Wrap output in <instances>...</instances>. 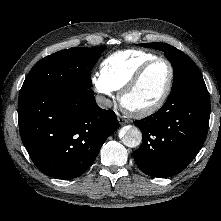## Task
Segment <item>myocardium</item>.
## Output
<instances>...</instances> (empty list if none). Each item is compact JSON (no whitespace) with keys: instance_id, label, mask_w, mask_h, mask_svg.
Segmentation results:
<instances>
[{"instance_id":"f54148a6","label":"myocardium","mask_w":221,"mask_h":221,"mask_svg":"<svg viewBox=\"0 0 221 221\" xmlns=\"http://www.w3.org/2000/svg\"><path fill=\"white\" fill-rule=\"evenodd\" d=\"M158 62H164L168 65L169 67V79L168 83L166 85L165 90L161 94V96L151 105L143 107V108H138V109H131L128 108L124 105V98L125 96L130 93L136 85L140 82L144 74L147 72V70L154 65L155 63ZM174 79H175V71L172 63L164 57H155L144 64H142L136 71L135 73L131 76V78L124 84V86L120 89L119 94H118V100L120 103V106L129 114L135 117H145L148 115H151L158 111L166 102L168 99L172 88L174 84Z\"/></svg>"}]
</instances>
